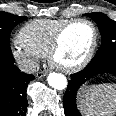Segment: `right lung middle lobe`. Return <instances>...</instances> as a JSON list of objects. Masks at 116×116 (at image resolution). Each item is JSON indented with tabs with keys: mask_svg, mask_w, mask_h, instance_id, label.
Returning <instances> with one entry per match:
<instances>
[{
	"mask_svg": "<svg viewBox=\"0 0 116 116\" xmlns=\"http://www.w3.org/2000/svg\"><path fill=\"white\" fill-rule=\"evenodd\" d=\"M24 16H17L0 11V66H4L13 59L10 48V33L12 29L26 20Z\"/></svg>",
	"mask_w": 116,
	"mask_h": 116,
	"instance_id": "obj_1",
	"label": "right lung middle lobe"
}]
</instances>
